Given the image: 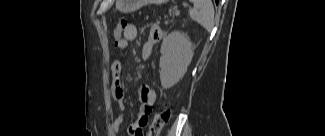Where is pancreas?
I'll return each instance as SVG.
<instances>
[{
	"label": "pancreas",
	"mask_w": 325,
	"mask_h": 136,
	"mask_svg": "<svg viewBox=\"0 0 325 136\" xmlns=\"http://www.w3.org/2000/svg\"><path fill=\"white\" fill-rule=\"evenodd\" d=\"M166 16H167L168 18H169V17L171 18V17H172V14H171V13H170V14L168 13Z\"/></svg>",
	"instance_id": "obj_1"
}]
</instances>
